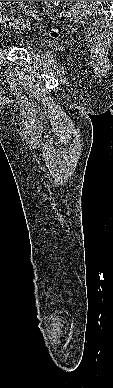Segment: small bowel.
<instances>
[{
	"instance_id": "c3829d8e",
	"label": "small bowel",
	"mask_w": 113,
	"mask_h": 388,
	"mask_svg": "<svg viewBox=\"0 0 113 388\" xmlns=\"http://www.w3.org/2000/svg\"><path fill=\"white\" fill-rule=\"evenodd\" d=\"M16 3H19V1H15ZM0 4H1V1H0Z\"/></svg>"
}]
</instances>
